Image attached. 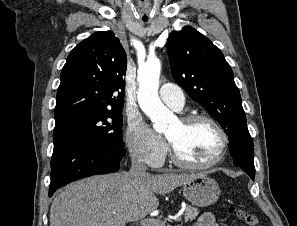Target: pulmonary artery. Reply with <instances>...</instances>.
Instances as JSON below:
<instances>
[{
	"instance_id": "obj_1",
	"label": "pulmonary artery",
	"mask_w": 297,
	"mask_h": 226,
	"mask_svg": "<svg viewBox=\"0 0 297 226\" xmlns=\"http://www.w3.org/2000/svg\"><path fill=\"white\" fill-rule=\"evenodd\" d=\"M161 100L174 109L175 111H182L185 106V97L183 90L172 83H165L161 85L159 90Z\"/></svg>"
}]
</instances>
